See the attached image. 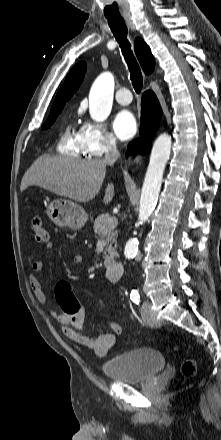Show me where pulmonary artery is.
<instances>
[{
	"mask_svg": "<svg viewBox=\"0 0 221 440\" xmlns=\"http://www.w3.org/2000/svg\"><path fill=\"white\" fill-rule=\"evenodd\" d=\"M115 99L121 105H128L132 101V95L129 89L122 87L116 92Z\"/></svg>",
	"mask_w": 221,
	"mask_h": 440,
	"instance_id": "obj_1",
	"label": "pulmonary artery"
}]
</instances>
